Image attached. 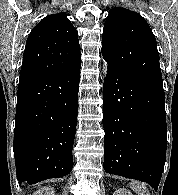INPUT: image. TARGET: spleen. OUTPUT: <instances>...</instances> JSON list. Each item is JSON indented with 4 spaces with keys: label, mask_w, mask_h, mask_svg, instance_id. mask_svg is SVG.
Returning <instances> with one entry per match:
<instances>
[{
    "label": "spleen",
    "mask_w": 178,
    "mask_h": 195,
    "mask_svg": "<svg viewBox=\"0 0 178 195\" xmlns=\"http://www.w3.org/2000/svg\"><path fill=\"white\" fill-rule=\"evenodd\" d=\"M130 187L136 192L137 195H150L149 190L144 184L134 182L130 184Z\"/></svg>",
    "instance_id": "1"
}]
</instances>
